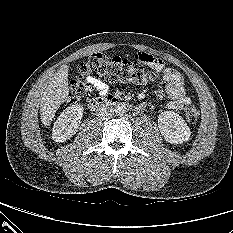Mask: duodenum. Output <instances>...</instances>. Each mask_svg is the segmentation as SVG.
<instances>
[{
	"label": "duodenum",
	"instance_id": "410a0bca",
	"mask_svg": "<svg viewBox=\"0 0 233 233\" xmlns=\"http://www.w3.org/2000/svg\"><path fill=\"white\" fill-rule=\"evenodd\" d=\"M127 104L128 102L124 100L123 98L113 96V95H108L105 97L95 98L91 100L89 103V107L91 110H101L102 108L106 106H110V105L125 106Z\"/></svg>",
	"mask_w": 233,
	"mask_h": 233
}]
</instances>
